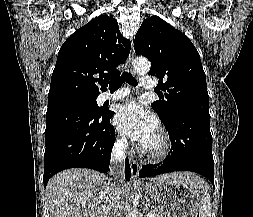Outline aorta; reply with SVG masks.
Returning <instances> with one entry per match:
<instances>
[{
  "label": "aorta",
  "mask_w": 253,
  "mask_h": 217,
  "mask_svg": "<svg viewBox=\"0 0 253 217\" xmlns=\"http://www.w3.org/2000/svg\"><path fill=\"white\" fill-rule=\"evenodd\" d=\"M133 67L137 73L145 74L150 70L151 64L147 59L139 58L133 62ZM127 217H137L136 210L130 211Z\"/></svg>",
  "instance_id": "obj_1"
}]
</instances>
